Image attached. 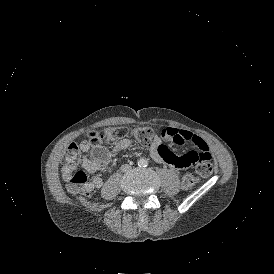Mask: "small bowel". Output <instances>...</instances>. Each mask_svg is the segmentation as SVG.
Segmentation results:
<instances>
[{"instance_id":"1","label":"small bowel","mask_w":274,"mask_h":274,"mask_svg":"<svg viewBox=\"0 0 274 274\" xmlns=\"http://www.w3.org/2000/svg\"><path fill=\"white\" fill-rule=\"evenodd\" d=\"M163 140H165L164 145ZM187 142L193 143L199 150L206 149L208 155L204 157L201 151L195 147H190L188 150H184L182 155L179 156V154L174 151L175 147ZM130 145L131 140L122 137L114 144V150L122 151L127 149ZM159 149L162 156L164 158H169L172 162L165 161L160 155ZM79 150L83 153L82 166L87 172L94 173L100 168H105L106 170L111 169V156L107 148L103 145L98 143L91 144L89 141L84 140L83 143L79 144ZM149 150L156 162L176 167L179 173H184L186 170L191 169L193 164H197L196 170L199 177L209 178L212 175L214 163L208 146L200 136L190 131L167 127L159 136L154 137ZM102 184L103 180L100 177H94L85 185L84 193L99 189Z\"/></svg>"}]
</instances>
